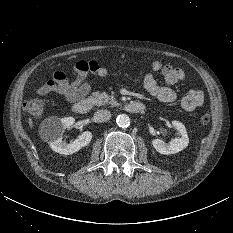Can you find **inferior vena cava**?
<instances>
[{
    "mask_svg": "<svg viewBox=\"0 0 233 233\" xmlns=\"http://www.w3.org/2000/svg\"><path fill=\"white\" fill-rule=\"evenodd\" d=\"M94 117L97 122H107L111 118V113L108 110L101 109L94 114Z\"/></svg>",
    "mask_w": 233,
    "mask_h": 233,
    "instance_id": "602c4592",
    "label": "inferior vena cava"
}]
</instances>
